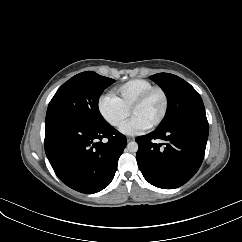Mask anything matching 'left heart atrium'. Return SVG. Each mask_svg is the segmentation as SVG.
I'll use <instances>...</instances> for the list:
<instances>
[{
	"label": "left heart atrium",
	"instance_id": "left-heart-atrium-1",
	"mask_svg": "<svg viewBox=\"0 0 242 242\" xmlns=\"http://www.w3.org/2000/svg\"><path fill=\"white\" fill-rule=\"evenodd\" d=\"M149 128L148 125L143 123L136 117H132L126 124L121 128V132L127 135H137Z\"/></svg>",
	"mask_w": 242,
	"mask_h": 242
}]
</instances>
